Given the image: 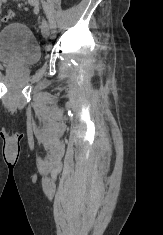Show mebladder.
Listing matches in <instances>:
<instances>
[{"instance_id": "obj_1", "label": "bladder", "mask_w": 163, "mask_h": 235, "mask_svg": "<svg viewBox=\"0 0 163 235\" xmlns=\"http://www.w3.org/2000/svg\"><path fill=\"white\" fill-rule=\"evenodd\" d=\"M41 60V48L31 29L23 23H9L0 29V63L31 67Z\"/></svg>"}]
</instances>
